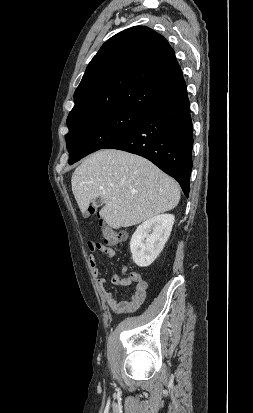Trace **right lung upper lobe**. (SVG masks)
<instances>
[{
    "instance_id": "1",
    "label": "right lung upper lobe",
    "mask_w": 253,
    "mask_h": 413,
    "mask_svg": "<svg viewBox=\"0 0 253 413\" xmlns=\"http://www.w3.org/2000/svg\"><path fill=\"white\" fill-rule=\"evenodd\" d=\"M186 91L168 41L146 26L131 27L107 40L88 64L67 124L116 109L146 113Z\"/></svg>"
}]
</instances>
